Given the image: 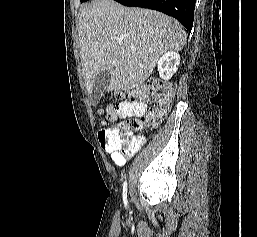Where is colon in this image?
Wrapping results in <instances>:
<instances>
[{"mask_svg":"<svg viewBox=\"0 0 257 237\" xmlns=\"http://www.w3.org/2000/svg\"><path fill=\"white\" fill-rule=\"evenodd\" d=\"M173 85L169 83L154 82L136 91L124 94L127 99L145 100L152 104L148 114L141 119H129L120 123L111 130L106 126V121L101 123L99 139L103 146L115 148L126 143V135L131 131H141L146 127L157 124L164 112L169 108L173 98Z\"/></svg>","mask_w":257,"mask_h":237,"instance_id":"5ec220e1","label":"colon"}]
</instances>
